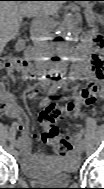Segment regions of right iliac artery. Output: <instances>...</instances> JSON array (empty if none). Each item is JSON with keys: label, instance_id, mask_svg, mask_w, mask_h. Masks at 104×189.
I'll use <instances>...</instances> for the list:
<instances>
[{"label": "right iliac artery", "instance_id": "1", "mask_svg": "<svg viewBox=\"0 0 104 189\" xmlns=\"http://www.w3.org/2000/svg\"><path fill=\"white\" fill-rule=\"evenodd\" d=\"M56 92V89H51L50 93L51 94H54ZM47 103V99L45 98L41 103H40V106H44L45 104ZM22 137H19L18 138V141H22Z\"/></svg>", "mask_w": 104, "mask_h": 189}]
</instances>
